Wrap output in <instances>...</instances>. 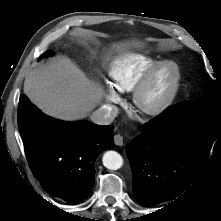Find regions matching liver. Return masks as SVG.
Returning a JSON list of instances; mask_svg holds the SVG:
<instances>
[{"mask_svg":"<svg viewBox=\"0 0 221 221\" xmlns=\"http://www.w3.org/2000/svg\"><path fill=\"white\" fill-rule=\"evenodd\" d=\"M24 92L44 113L66 121L85 117L103 96L102 89L66 57L31 72Z\"/></svg>","mask_w":221,"mask_h":221,"instance_id":"obj_1","label":"liver"}]
</instances>
